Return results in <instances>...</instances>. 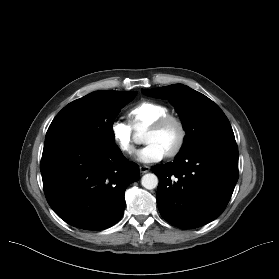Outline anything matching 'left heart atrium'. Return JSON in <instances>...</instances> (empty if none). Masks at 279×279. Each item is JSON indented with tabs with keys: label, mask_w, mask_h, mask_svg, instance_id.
Segmentation results:
<instances>
[{
	"label": "left heart atrium",
	"mask_w": 279,
	"mask_h": 279,
	"mask_svg": "<svg viewBox=\"0 0 279 279\" xmlns=\"http://www.w3.org/2000/svg\"><path fill=\"white\" fill-rule=\"evenodd\" d=\"M166 155V152L156 143H148L145 147L137 152V159L150 163L161 160Z\"/></svg>",
	"instance_id": "39dd6f15"
}]
</instances>
